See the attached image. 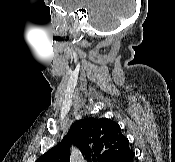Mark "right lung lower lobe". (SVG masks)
I'll list each match as a JSON object with an SVG mask.
<instances>
[{
    "instance_id": "obj_1",
    "label": "right lung lower lobe",
    "mask_w": 175,
    "mask_h": 162,
    "mask_svg": "<svg viewBox=\"0 0 175 162\" xmlns=\"http://www.w3.org/2000/svg\"><path fill=\"white\" fill-rule=\"evenodd\" d=\"M134 159V152L128 148L126 151L117 156L112 162H132Z\"/></svg>"
}]
</instances>
